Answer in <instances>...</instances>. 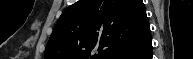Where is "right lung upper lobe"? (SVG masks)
Instances as JSON below:
<instances>
[{"mask_svg":"<svg viewBox=\"0 0 193 59\" xmlns=\"http://www.w3.org/2000/svg\"><path fill=\"white\" fill-rule=\"evenodd\" d=\"M148 33L142 0H79L60 16L44 59H112Z\"/></svg>","mask_w":193,"mask_h":59,"instance_id":"right-lung-upper-lobe-1","label":"right lung upper lobe"}]
</instances>
